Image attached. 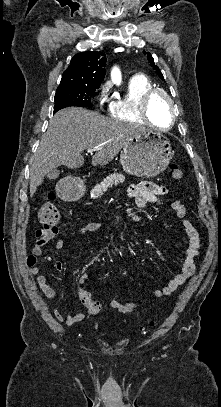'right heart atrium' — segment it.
Segmentation results:
<instances>
[{
  "label": "right heart atrium",
  "mask_w": 221,
  "mask_h": 407,
  "mask_svg": "<svg viewBox=\"0 0 221 407\" xmlns=\"http://www.w3.org/2000/svg\"><path fill=\"white\" fill-rule=\"evenodd\" d=\"M110 90V84L104 83L100 86L98 93H97V101L102 104L106 99L108 92Z\"/></svg>",
  "instance_id": "right-heart-atrium-1"
}]
</instances>
